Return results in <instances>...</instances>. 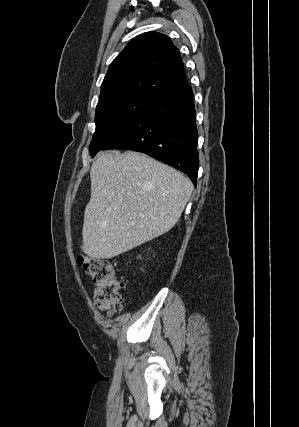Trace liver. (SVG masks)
Wrapping results in <instances>:
<instances>
[{"mask_svg":"<svg viewBox=\"0 0 299 427\" xmlns=\"http://www.w3.org/2000/svg\"><path fill=\"white\" fill-rule=\"evenodd\" d=\"M82 251L110 259L169 231L193 191L176 169L139 152L98 153L90 170Z\"/></svg>","mask_w":299,"mask_h":427,"instance_id":"1","label":"liver"}]
</instances>
